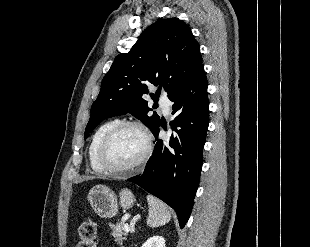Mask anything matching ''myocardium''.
<instances>
[{"mask_svg": "<svg viewBox=\"0 0 310 247\" xmlns=\"http://www.w3.org/2000/svg\"><path fill=\"white\" fill-rule=\"evenodd\" d=\"M128 127H133L141 131L144 137V141H145L144 150L142 154L140 155V157L134 163L126 167H120V168L111 167L110 165H108V163L105 160L106 150L110 142L112 141V139L121 130L128 128ZM151 151H152V137H151V134L148 128L141 122L124 120V121H119L116 125H114L102 139L98 147V151H97V161L99 165L102 167V169L106 171L107 173L111 175H124V174L134 172L137 169L141 168L147 162L148 158L150 157Z\"/></svg>", "mask_w": 310, "mask_h": 247, "instance_id": "1", "label": "myocardium"}]
</instances>
